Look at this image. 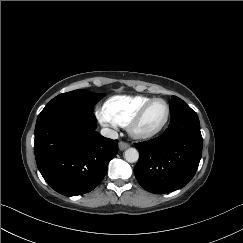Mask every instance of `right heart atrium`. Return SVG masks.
Returning a JSON list of instances; mask_svg holds the SVG:
<instances>
[{"instance_id":"obj_1","label":"right heart atrium","mask_w":243,"mask_h":243,"mask_svg":"<svg viewBox=\"0 0 243 243\" xmlns=\"http://www.w3.org/2000/svg\"><path fill=\"white\" fill-rule=\"evenodd\" d=\"M97 117L104 124H107V125H110V126H113L115 124V122L106 115L104 110L103 111H98L97 112Z\"/></svg>"}]
</instances>
